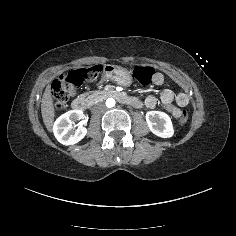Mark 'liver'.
Instances as JSON below:
<instances>
[{
	"label": "liver",
	"mask_w": 236,
	"mask_h": 236,
	"mask_svg": "<svg viewBox=\"0 0 236 236\" xmlns=\"http://www.w3.org/2000/svg\"><path fill=\"white\" fill-rule=\"evenodd\" d=\"M41 113L43 122L49 132L53 131L54 106L51 96V86L47 85L41 101Z\"/></svg>",
	"instance_id": "liver-1"
}]
</instances>
